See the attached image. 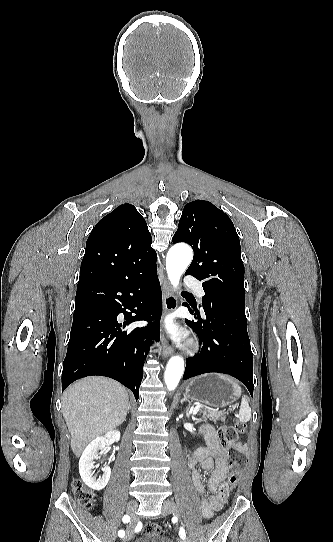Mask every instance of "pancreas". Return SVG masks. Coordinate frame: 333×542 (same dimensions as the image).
<instances>
[{"instance_id":"1","label":"pancreas","mask_w":333,"mask_h":542,"mask_svg":"<svg viewBox=\"0 0 333 542\" xmlns=\"http://www.w3.org/2000/svg\"><path fill=\"white\" fill-rule=\"evenodd\" d=\"M200 414H202V418L204 420H213V422H217V420H221V422H225L226 416L228 412H216V410H200Z\"/></svg>"}]
</instances>
